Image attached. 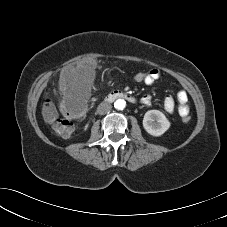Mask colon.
<instances>
[{
  "label": "colon",
  "instance_id": "colon-1",
  "mask_svg": "<svg viewBox=\"0 0 227 227\" xmlns=\"http://www.w3.org/2000/svg\"><path fill=\"white\" fill-rule=\"evenodd\" d=\"M147 78L146 72H136L132 75V80L136 83H144ZM60 111V112H59ZM84 114L83 107L76 102H64L59 110L51 100H47L43 106V116L51 125L53 130L61 136H69L73 132V120L80 119ZM184 122L190 121L189 113H182Z\"/></svg>",
  "mask_w": 227,
  "mask_h": 227
}]
</instances>
